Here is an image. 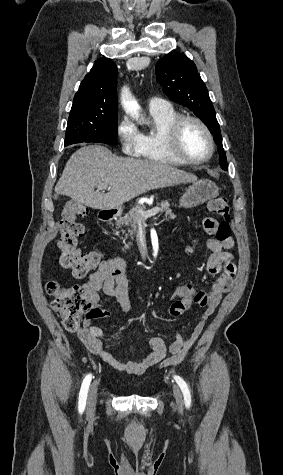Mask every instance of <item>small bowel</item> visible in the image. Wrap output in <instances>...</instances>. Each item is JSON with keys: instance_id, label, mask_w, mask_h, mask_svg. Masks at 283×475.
<instances>
[{"instance_id": "small-bowel-1", "label": "small bowel", "mask_w": 283, "mask_h": 475, "mask_svg": "<svg viewBox=\"0 0 283 475\" xmlns=\"http://www.w3.org/2000/svg\"><path fill=\"white\" fill-rule=\"evenodd\" d=\"M220 224L219 221L215 223L214 219L210 217L202 219L204 231L208 232L210 237H213L206 241V248L211 254L205 269L207 274L215 276L216 279L210 289H198L193 292L195 304L202 306L204 309L190 336L185 337L178 334L169 345L165 343L161 336H154L148 341L152 349L149 355L141 359L128 361L117 358L110 351V343L103 329L98 327L107 326L109 323L107 318L109 312L103 308L101 292L111 298L122 310L127 311L131 308L129 282L125 275L127 263L124 259L112 258L100 263L98 268L90 274L83 287L86 298L94 310L85 312L86 320L77 333L85 347L116 371L132 375H141L157 363L170 366L186 358L192 345L203 332L208 318L214 313L223 296L232 289L234 284L236 265L232 254L227 249L233 248L235 241L224 239L221 243L215 239L219 235ZM188 289V285L176 286L174 298L176 293H188Z\"/></svg>"}]
</instances>
